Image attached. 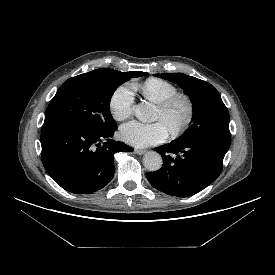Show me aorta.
I'll return each mask as SVG.
<instances>
[{"label": "aorta", "mask_w": 275, "mask_h": 275, "mask_svg": "<svg viewBox=\"0 0 275 275\" xmlns=\"http://www.w3.org/2000/svg\"><path fill=\"white\" fill-rule=\"evenodd\" d=\"M154 112V106L150 103H140L134 107L135 116L143 122L151 120ZM143 164L148 171L154 172L162 167L163 160L159 153L150 151L144 155Z\"/></svg>", "instance_id": "1"}]
</instances>
